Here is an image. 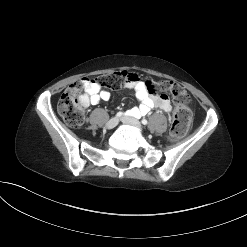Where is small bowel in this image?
<instances>
[{
    "instance_id": "c3829d8e",
    "label": "small bowel",
    "mask_w": 247,
    "mask_h": 247,
    "mask_svg": "<svg viewBox=\"0 0 247 247\" xmlns=\"http://www.w3.org/2000/svg\"><path fill=\"white\" fill-rule=\"evenodd\" d=\"M85 91L86 105H96L100 101H108L111 98L110 92L102 90L94 81L83 78L81 80ZM125 88L132 90L140 105L131 108L129 114L135 117H141L150 112L153 108H159L164 112H171L172 106L169 97L166 94H157L153 90L152 81H143L137 74L130 72V78L125 83Z\"/></svg>"
}]
</instances>
